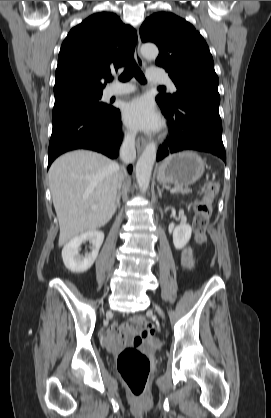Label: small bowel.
<instances>
[{
  "mask_svg": "<svg viewBox=\"0 0 271 418\" xmlns=\"http://www.w3.org/2000/svg\"><path fill=\"white\" fill-rule=\"evenodd\" d=\"M181 264L183 267L190 269L194 264V258L192 249L190 247H185L181 252ZM139 317H134L130 319L123 326L118 327L113 325L105 336V345L109 350H116L127 338L131 336L134 332L133 326L135 324H140L138 322ZM135 345H140L142 343V338L140 336H135L133 339ZM152 344H156V340H151Z\"/></svg>",
  "mask_w": 271,
  "mask_h": 418,
  "instance_id": "1",
  "label": "small bowel"
}]
</instances>
